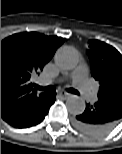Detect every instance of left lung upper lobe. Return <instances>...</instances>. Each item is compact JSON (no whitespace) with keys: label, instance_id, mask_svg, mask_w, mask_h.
<instances>
[{"label":"left lung upper lobe","instance_id":"1","mask_svg":"<svg viewBox=\"0 0 122 154\" xmlns=\"http://www.w3.org/2000/svg\"><path fill=\"white\" fill-rule=\"evenodd\" d=\"M91 74L99 81L98 98L122 95V55L99 40H89Z\"/></svg>","mask_w":122,"mask_h":154}]
</instances>
